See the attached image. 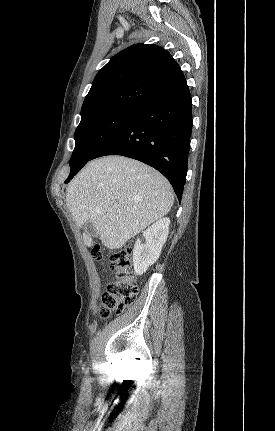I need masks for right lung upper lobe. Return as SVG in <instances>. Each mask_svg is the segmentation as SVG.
Wrapping results in <instances>:
<instances>
[{"label": "right lung upper lobe", "mask_w": 275, "mask_h": 431, "mask_svg": "<svg viewBox=\"0 0 275 431\" xmlns=\"http://www.w3.org/2000/svg\"><path fill=\"white\" fill-rule=\"evenodd\" d=\"M184 80L168 51L153 44L132 45L97 73L81 116L111 108H140Z\"/></svg>", "instance_id": "1"}]
</instances>
